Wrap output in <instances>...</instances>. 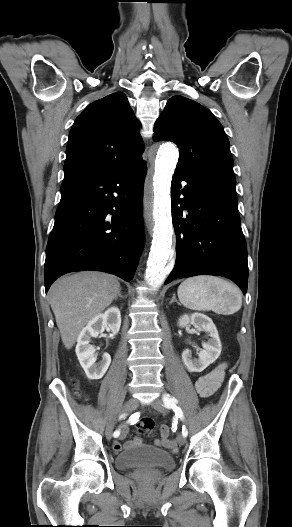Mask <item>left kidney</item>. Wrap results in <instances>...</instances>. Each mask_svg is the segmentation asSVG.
<instances>
[{
	"label": "left kidney",
	"instance_id": "obj_1",
	"mask_svg": "<svg viewBox=\"0 0 292 527\" xmlns=\"http://www.w3.org/2000/svg\"><path fill=\"white\" fill-rule=\"evenodd\" d=\"M192 324L196 329L209 333L210 339L202 344L203 350L198 359H192L191 352L186 349L182 353V361L189 372H202L212 364L220 355L222 350L221 341L213 321L201 313L183 315L178 320V326L183 328Z\"/></svg>",
	"mask_w": 292,
	"mask_h": 527
}]
</instances>
